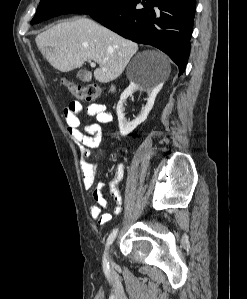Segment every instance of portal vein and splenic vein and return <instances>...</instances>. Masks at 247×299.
I'll return each mask as SVG.
<instances>
[{"label": "portal vein and splenic vein", "mask_w": 247, "mask_h": 299, "mask_svg": "<svg viewBox=\"0 0 247 299\" xmlns=\"http://www.w3.org/2000/svg\"><path fill=\"white\" fill-rule=\"evenodd\" d=\"M91 67H95L96 64L94 62H90Z\"/></svg>", "instance_id": "obj_1"}]
</instances>
